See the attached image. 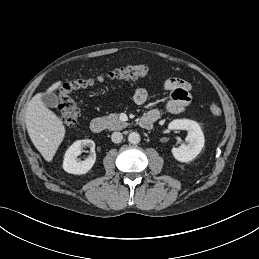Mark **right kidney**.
Returning a JSON list of instances; mask_svg holds the SVG:
<instances>
[{
  "mask_svg": "<svg viewBox=\"0 0 259 259\" xmlns=\"http://www.w3.org/2000/svg\"><path fill=\"white\" fill-rule=\"evenodd\" d=\"M84 147H89L91 154L84 160L79 161L77 156L81 154ZM96 161L95 143L91 139L75 141L66 151L63 160V169L71 174H85L94 165Z\"/></svg>",
  "mask_w": 259,
  "mask_h": 259,
  "instance_id": "1",
  "label": "right kidney"
}]
</instances>
